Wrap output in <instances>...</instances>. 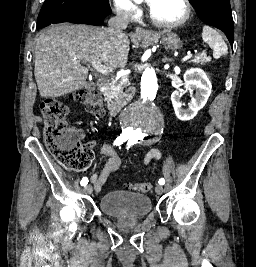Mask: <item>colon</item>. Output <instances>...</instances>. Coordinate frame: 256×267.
Masks as SVG:
<instances>
[{"mask_svg":"<svg viewBox=\"0 0 256 267\" xmlns=\"http://www.w3.org/2000/svg\"><path fill=\"white\" fill-rule=\"evenodd\" d=\"M73 98L90 114L98 115L103 111L101 99L88 90L74 92ZM40 107L44 115V137L50 153L63 166L86 169L91 163L93 152L90 146L75 143L76 131L69 129L65 122L69 107L57 99H46ZM125 188L146 193L153 190V184L128 182Z\"/></svg>","mask_w":256,"mask_h":267,"instance_id":"5ec220e1","label":"colon"}]
</instances>
